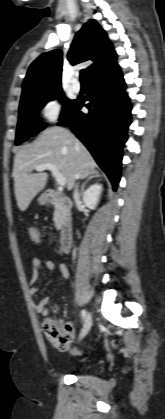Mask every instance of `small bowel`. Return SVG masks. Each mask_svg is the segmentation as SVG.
<instances>
[{"label": "small bowel", "instance_id": "1", "mask_svg": "<svg viewBox=\"0 0 165 419\" xmlns=\"http://www.w3.org/2000/svg\"><path fill=\"white\" fill-rule=\"evenodd\" d=\"M47 270H55L58 269L63 279H69V271L66 265L62 262H55L54 260H46L45 263H42L40 258L33 257L31 260V277L29 282V293L34 295L38 292L39 286L36 284L37 280L39 279L40 271L42 269ZM50 303V298L48 296H44L41 300L35 305V310L42 316H47L48 314V306ZM70 328L73 329V325H70ZM71 342L64 344V345H55L56 349L59 352H72L75 355H78L79 352L71 349Z\"/></svg>", "mask_w": 165, "mask_h": 419}]
</instances>
